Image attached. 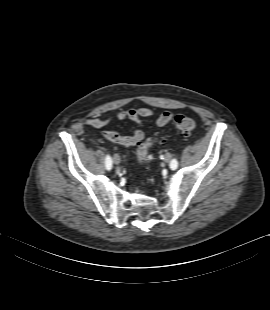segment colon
Wrapping results in <instances>:
<instances>
[{"label": "colon", "instance_id": "5ec220e1", "mask_svg": "<svg viewBox=\"0 0 270 310\" xmlns=\"http://www.w3.org/2000/svg\"><path fill=\"white\" fill-rule=\"evenodd\" d=\"M174 125L177 130L184 134H190L196 127L195 121L184 115H177L174 118ZM160 142V138H151L145 141H140L137 144L136 156L141 166H147L151 160L150 149Z\"/></svg>", "mask_w": 270, "mask_h": 310}]
</instances>
